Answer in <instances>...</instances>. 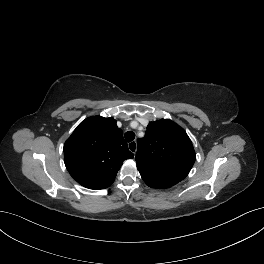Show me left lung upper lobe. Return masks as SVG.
Masks as SVG:
<instances>
[{"mask_svg":"<svg viewBox=\"0 0 264 264\" xmlns=\"http://www.w3.org/2000/svg\"><path fill=\"white\" fill-rule=\"evenodd\" d=\"M195 158L185 130L171 120L150 122L145 136L138 139L136 162L140 174L161 169L180 182L188 175Z\"/></svg>","mask_w":264,"mask_h":264,"instance_id":"1","label":"left lung upper lobe"}]
</instances>
